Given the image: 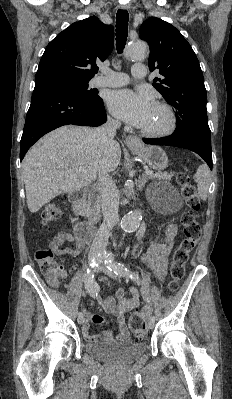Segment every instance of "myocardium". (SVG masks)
<instances>
[{
	"instance_id": "1",
	"label": "myocardium",
	"mask_w": 232,
	"mask_h": 399,
	"mask_svg": "<svg viewBox=\"0 0 232 399\" xmlns=\"http://www.w3.org/2000/svg\"><path fill=\"white\" fill-rule=\"evenodd\" d=\"M156 105L159 106L160 108H162L166 112L167 118H168V123H167V126L163 130L154 132V133H149V132H144V131L138 130L139 135L146 139L157 140V139L165 138V137L171 135L177 127V116H176V113H175V110L173 109V107L164 102H157Z\"/></svg>"
}]
</instances>
